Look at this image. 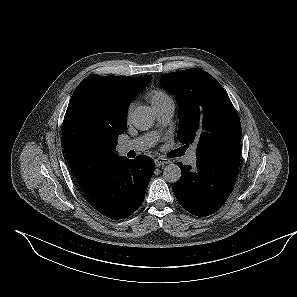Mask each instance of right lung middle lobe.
I'll return each instance as SVG.
<instances>
[{"label":"right lung middle lobe","instance_id":"dd1d6c3e","mask_svg":"<svg viewBox=\"0 0 297 297\" xmlns=\"http://www.w3.org/2000/svg\"><path fill=\"white\" fill-rule=\"evenodd\" d=\"M125 130H126V126H124V128L121 130V132H120L119 134H122V133H124V132H125ZM116 140H117V138H116Z\"/></svg>","mask_w":297,"mask_h":297}]
</instances>
